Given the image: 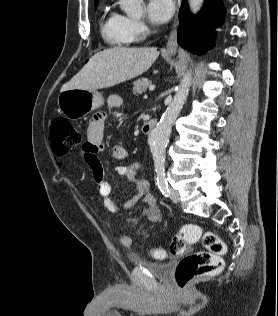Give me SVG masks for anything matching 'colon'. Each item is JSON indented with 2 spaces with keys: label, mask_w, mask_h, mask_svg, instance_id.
Here are the masks:
<instances>
[{
  "label": "colon",
  "mask_w": 278,
  "mask_h": 316,
  "mask_svg": "<svg viewBox=\"0 0 278 316\" xmlns=\"http://www.w3.org/2000/svg\"><path fill=\"white\" fill-rule=\"evenodd\" d=\"M51 146L56 155H64L81 145L83 136L71 123L62 118L55 119L50 131ZM201 240L206 250L194 252L178 263L175 280L179 288H186L194 279L219 272L223 267L222 255L226 251L221 238L212 231H205L196 224H186L173 237L170 252L181 255L187 246ZM156 258L165 257L162 249L152 251Z\"/></svg>",
  "instance_id": "1"
}]
</instances>
